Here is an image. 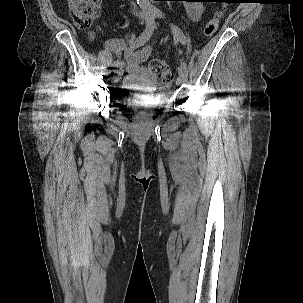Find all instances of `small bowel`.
<instances>
[{"instance_id": "obj_1", "label": "small bowel", "mask_w": 303, "mask_h": 303, "mask_svg": "<svg viewBox=\"0 0 303 303\" xmlns=\"http://www.w3.org/2000/svg\"><path fill=\"white\" fill-rule=\"evenodd\" d=\"M188 2H197L194 4H185V8L189 18L193 21L201 19L204 7L199 0H185ZM106 49L112 51L120 62L122 53L125 57V68L128 73L126 82L135 86H139L145 89L155 87V82L151 72L148 68L143 66V63L147 61L151 55V48L149 46L143 47L139 51H134L132 47L128 46L124 39L111 38L107 40L105 44Z\"/></svg>"}]
</instances>
